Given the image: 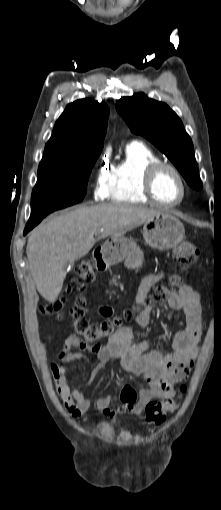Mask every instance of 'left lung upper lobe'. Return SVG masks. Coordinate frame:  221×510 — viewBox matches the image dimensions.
Instances as JSON below:
<instances>
[{
	"mask_svg": "<svg viewBox=\"0 0 221 510\" xmlns=\"http://www.w3.org/2000/svg\"><path fill=\"white\" fill-rule=\"evenodd\" d=\"M116 108L131 131L144 136L163 152L191 187L202 188L192 140L174 111L144 93L122 97Z\"/></svg>",
	"mask_w": 221,
	"mask_h": 510,
	"instance_id": "obj_1",
	"label": "left lung upper lobe"
}]
</instances>
